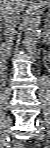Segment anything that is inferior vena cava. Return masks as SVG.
I'll list each match as a JSON object with an SVG mask.
<instances>
[{"mask_svg":"<svg viewBox=\"0 0 50 148\" xmlns=\"http://www.w3.org/2000/svg\"><path fill=\"white\" fill-rule=\"evenodd\" d=\"M4 25V43L3 48L7 54H10L12 49L15 28L20 21V9L18 0H11L1 11Z\"/></svg>","mask_w":50,"mask_h":148,"instance_id":"inferior-vena-cava-1","label":"inferior vena cava"}]
</instances>
